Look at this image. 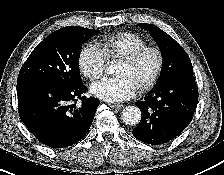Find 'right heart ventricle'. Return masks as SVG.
<instances>
[{"instance_id": "obj_1", "label": "right heart ventricle", "mask_w": 224, "mask_h": 175, "mask_svg": "<svg viewBox=\"0 0 224 175\" xmlns=\"http://www.w3.org/2000/svg\"><path fill=\"white\" fill-rule=\"evenodd\" d=\"M147 45L140 35L130 32L106 36L101 40V48L108 58L123 59Z\"/></svg>"}]
</instances>
